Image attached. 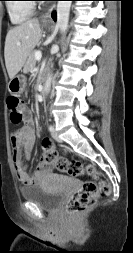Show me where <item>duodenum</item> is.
<instances>
[{
  "instance_id": "obj_1",
  "label": "duodenum",
  "mask_w": 133,
  "mask_h": 253,
  "mask_svg": "<svg viewBox=\"0 0 133 253\" xmlns=\"http://www.w3.org/2000/svg\"><path fill=\"white\" fill-rule=\"evenodd\" d=\"M44 79H45V78H44V77H42V82L44 81Z\"/></svg>"
}]
</instances>
